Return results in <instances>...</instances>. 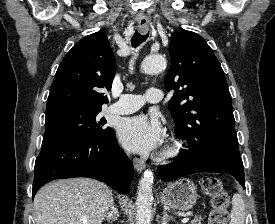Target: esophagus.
<instances>
[{
    "label": "esophagus",
    "instance_id": "1",
    "mask_svg": "<svg viewBox=\"0 0 275 224\" xmlns=\"http://www.w3.org/2000/svg\"><path fill=\"white\" fill-rule=\"evenodd\" d=\"M138 28H139V31L141 34H146L148 31V22L147 21H139ZM133 164H134L135 169L138 172H142L146 167L145 161L138 157H135L133 159Z\"/></svg>",
    "mask_w": 275,
    "mask_h": 224
}]
</instances>
